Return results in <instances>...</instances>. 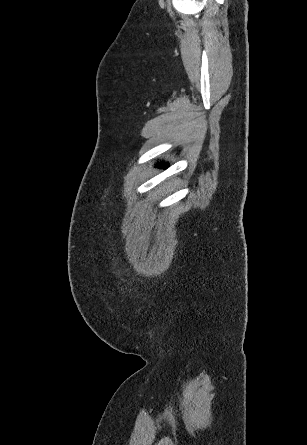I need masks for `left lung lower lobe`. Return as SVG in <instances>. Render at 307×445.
Instances as JSON below:
<instances>
[{"mask_svg": "<svg viewBox=\"0 0 307 445\" xmlns=\"http://www.w3.org/2000/svg\"><path fill=\"white\" fill-rule=\"evenodd\" d=\"M168 165L167 164H165V163H160L159 165H158V168H166Z\"/></svg>", "mask_w": 307, "mask_h": 445, "instance_id": "left-lung-lower-lobe-1", "label": "left lung lower lobe"}]
</instances>
